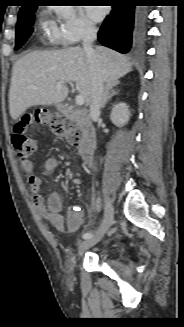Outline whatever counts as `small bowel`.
Returning a JSON list of instances; mask_svg holds the SVG:
<instances>
[{"mask_svg":"<svg viewBox=\"0 0 184 327\" xmlns=\"http://www.w3.org/2000/svg\"><path fill=\"white\" fill-rule=\"evenodd\" d=\"M58 162L49 158L44 164V171L47 174L56 170ZM23 169L28 175V183L33 193V203L41 215L57 230L65 228L69 232H76L84 223V213L79 206H70L66 216L62 214V200L57 193H52L46 200L41 194V181L35 175V167L31 161L23 163Z\"/></svg>","mask_w":184,"mask_h":327,"instance_id":"small-bowel-1","label":"small bowel"}]
</instances>
